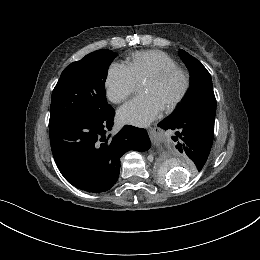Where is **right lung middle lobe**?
<instances>
[{"instance_id":"right-lung-middle-lobe-1","label":"right lung middle lobe","mask_w":260,"mask_h":260,"mask_svg":"<svg viewBox=\"0 0 260 260\" xmlns=\"http://www.w3.org/2000/svg\"><path fill=\"white\" fill-rule=\"evenodd\" d=\"M117 56L111 50L92 52L68 65L52 92L50 120L97 119L113 109L105 95L108 68Z\"/></svg>"}]
</instances>
